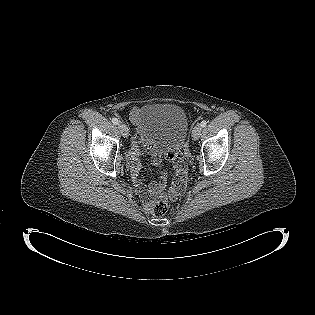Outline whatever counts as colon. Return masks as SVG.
Listing matches in <instances>:
<instances>
[{
  "label": "colon",
  "instance_id": "1",
  "mask_svg": "<svg viewBox=\"0 0 315 315\" xmlns=\"http://www.w3.org/2000/svg\"><path fill=\"white\" fill-rule=\"evenodd\" d=\"M186 188L185 170L179 173L178 177L173 182L172 194L178 195L184 192ZM144 210L155 217H161L166 214L168 210V203L166 200L161 199L153 203H148L144 206Z\"/></svg>",
  "mask_w": 315,
  "mask_h": 315
}]
</instances>
